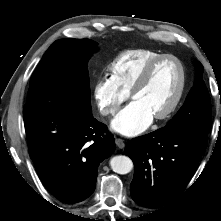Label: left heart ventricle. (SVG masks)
I'll return each mask as SVG.
<instances>
[{
	"instance_id": "b2bd125f",
	"label": "left heart ventricle",
	"mask_w": 221,
	"mask_h": 221,
	"mask_svg": "<svg viewBox=\"0 0 221 221\" xmlns=\"http://www.w3.org/2000/svg\"><path fill=\"white\" fill-rule=\"evenodd\" d=\"M180 82L178 64L167 59L155 67L147 84L133 97L152 116L164 111L173 100Z\"/></svg>"
}]
</instances>
